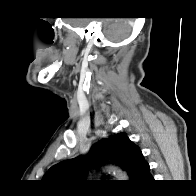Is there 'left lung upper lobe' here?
Segmentation results:
<instances>
[{
	"mask_svg": "<svg viewBox=\"0 0 196 196\" xmlns=\"http://www.w3.org/2000/svg\"><path fill=\"white\" fill-rule=\"evenodd\" d=\"M95 157L121 166L129 174L130 181L134 180L140 164L145 162L140 148L125 133H118L94 144L86 157H76L52 166L42 180L51 184L80 181L87 173L90 159Z\"/></svg>",
	"mask_w": 196,
	"mask_h": 196,
	"instance_id": "obj_1",
	"label": "left lung upper lobe"
}]
</instances>
